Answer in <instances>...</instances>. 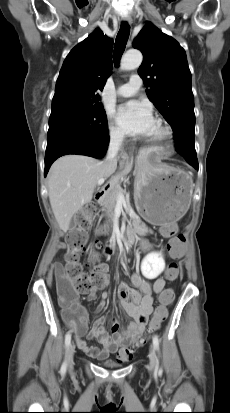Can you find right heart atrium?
I'll return each instance as SVG.
<instances>
[{
	"label": "right heart atrium",
	"mask_w": 230,
	"mask_h": 413,
	"mask_svg": "<svg viewBox=\"0 0 230 413\" xmlns=\"http://www.w3.org/2000/svg\"><path fill=\"white\" fill-rule=\"evenodd\" d=\"M108 136L112 143L118 145L122 144L125 139V133L111 120L108 121Z\"/></svg>",
	"instance_id": "d8ad5b80"
}]
</instances>
